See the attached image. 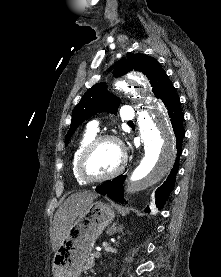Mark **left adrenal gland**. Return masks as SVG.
<instances>
[{
	"label": "left adrenal gland",
	"mask_w": 221,
	"mask_h": 277,
	"mask_svg": "<svg viewBox=\"0 0 221 277\" xmlns=\"http://www.w3.org/2000/svg\"><path fill=\"white\" fill-rule=\"evenodd\" d=\"M123 226L120 225L119 227H117V223H114L109 229H108V233L110 235L118 233V232H123Z\"/></svg>",
	"instance_id": "a2214340"
}]
</instances>
